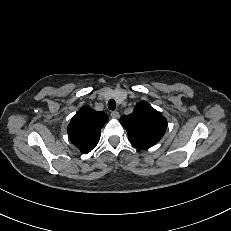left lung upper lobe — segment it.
Wrapping results in <instances>:
<instances>
[{
  "mask_svg": "<svg viewBox=\"0 0 231 231\" xmlns=\"http://www.w3.org/2000/svg\"><path fill=\"white\" fill-rule=\"evenodd\" d=\"M120 122L127 131L130 143L139 149L155 145L167 128L164 116L146 101L138 103L131 114L123 115Z\"/></svg>",
  "mask_w": 231,
  "mask_h": 231,
  "instance_id": "5c2ea615",
  "label": "left lung upper lobe"
}]
</instances>
